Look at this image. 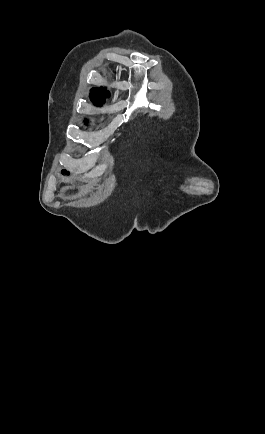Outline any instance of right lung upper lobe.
Returning <instances> with one entry per match:
<instances>
[{
    "label": "right lung upper lobe",
    "mask_w": 265,
    "mask_h": 434,
    "mask_svg": "<svg viewBox=\"0 0 265 434\" xmlns=\"http://www.w3.org/2000/svg\"><path fill=\"white\" fill-rule=\"evenodd\" d=\"M103 89H105V88L92 89L90 96L97 97V98H102V99L105 100V97L109 96V92L106 91V90L102 91Z\"/></svg>",
    "instance_id": "cb5924a9"
}]
</instances>
